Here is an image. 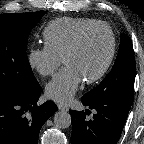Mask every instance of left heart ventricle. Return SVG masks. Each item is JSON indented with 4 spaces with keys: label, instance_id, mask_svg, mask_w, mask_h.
<instances>
[{
    "label": "left heart ventricle",
    "instance_id": "obj_1",
    "mask_svg": "<svg viewBox=\"0 0 144 144\" xmlns=\"http://www.w3.org/2000/svg\"><path fill=\"white\" fill-rule=\"evenodd\" d=\"M110 48L111 37L108 30L98 28L85 36L78 49L65 63L74 67L85 80L100 71L107 60Z\"/></svg>",
    "mask_w": 144,
    "mask_h": 144
}]
</instances>
